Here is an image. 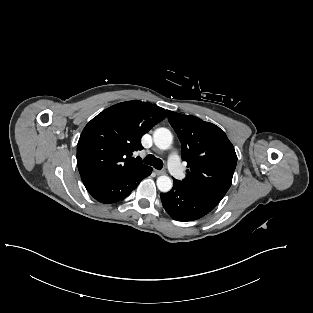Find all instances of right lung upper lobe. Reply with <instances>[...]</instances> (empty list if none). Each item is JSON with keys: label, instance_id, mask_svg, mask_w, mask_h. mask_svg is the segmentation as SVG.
Returning <instances> with one entry per match:
<instances>
[{"label": "right lung upper lobe", "instance_id": "1", "mask_svg": "<svg viewBox=\"0 0 313 313\" xmlns=\"http://www.w3.org/2000/svg\"><path fill=\"white\" fill-rule=\"evenodd\" d=\"M156 105L139 100L113 105L83 129L77 145V164L84 185L122 178L147 166L133 152L141 137L168 115Z\"/></svg>", "mask_w": 313, "mask_h": 313}]
</instances>
